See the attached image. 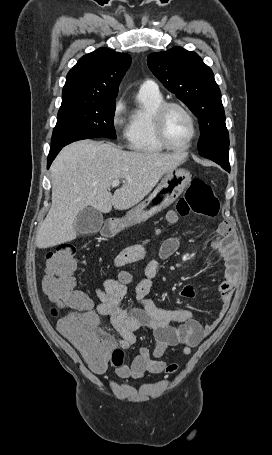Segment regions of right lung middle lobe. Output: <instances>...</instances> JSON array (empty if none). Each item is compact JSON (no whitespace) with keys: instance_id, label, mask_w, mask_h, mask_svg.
I'll return each mask as SVG.
<instances>
[{"instance_id":"dd1d6c3e","label":"right lung middle lobe","mask_w":272,"mask_h":455,"mask_svg":"<svg viewBox=\"0 0 272 455\" xmlns=\"http://www.w3.org/2000/svg\"><path fill=\"white\" fill-rule=\"evenodd\" d=\"M114 114L115 101L62 103L52 134L51 149L88 138L115 139Z\"/></svg>"}]
</instances>
